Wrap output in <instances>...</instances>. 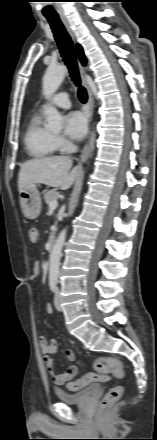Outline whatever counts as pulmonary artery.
<instances>
[{
    "instance_id": "pulmonary-artery-1",
    "label": "pulmonary artery",
    "mask_w": 157,
    "mask_h": 440,
    "mask_svg": "<svg viewBox=\"0 0 157 440\" xmlns=\"http://www.w3.org/2000/svg\"><path fill=\"white\" fill-rule=\"evenodd\" d=\"M51 104L64 109H69L71 107V102L66 92H61L55 95L51 101ZM46 106L47 104H43L41 108L44 109Z\"/></svg>"
}]
</instances>
